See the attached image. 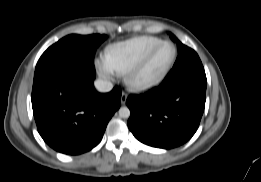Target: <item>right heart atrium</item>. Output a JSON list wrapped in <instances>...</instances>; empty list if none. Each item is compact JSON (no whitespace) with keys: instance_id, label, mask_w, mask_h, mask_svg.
<instances>
[{"instance_id":"d8ad5b80","label":"right heart atrium","mask_w":261,"mask_h":182,"mask_svg":"<svg viewBox=\"0 0 261 182\" xmlns=\"http://www.w3.org/2000/svg\"><path fill=\"white\" fill-rule=\"evenodd\" d=\"M96 66L100 75L107 79L111 80L114 77V70L110 66L106 58L100 57L96 60Z\"/></svg>"}]
</instances>
